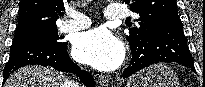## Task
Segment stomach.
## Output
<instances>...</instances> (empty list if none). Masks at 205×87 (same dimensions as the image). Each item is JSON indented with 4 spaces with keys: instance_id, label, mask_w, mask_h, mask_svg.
Here are the masks:
<instances>
[{
    "instance_id": "1",
    "label": "stomach",
    "mask_w": 205,
    "mask_h": 87,
    "mask_svg": "<svg viewBox=\"0 0 205 87\" xmlns=\"http://www.w3.org/2000/svg\"><path fill=\"white\" fill-rule=\"evenodd\" d=\"M125 87H179V78L167 66L157 64L133 75Z\"/></svg>"
}]
</instances>
